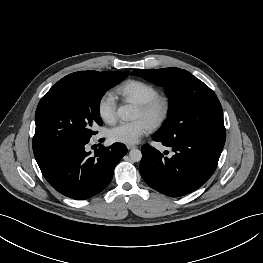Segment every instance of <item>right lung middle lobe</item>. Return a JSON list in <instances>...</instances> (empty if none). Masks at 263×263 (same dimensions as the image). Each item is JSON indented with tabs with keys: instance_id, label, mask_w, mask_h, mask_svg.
Segmentation results:
<instances>
[{
	"instance_id": "right-lung-middle-lobe-1",
	"label": "right lung middle lobe",
	"mask_w": 263,
	"mask_h": 263,
	"mask_svg": "<svg viewBox=\"0 0 263 263\" xmlns=\"http://www.w3.org/2000/svg\"><path fill=\"white\" fill-rule=\"evenodd\" d=\"M129 71L96 72L84 81L52 87L35 113V157L64 144L89 141L94 124L102 125L99 105L107 90L120 83Z\"/></svg>"
}]
</instances>
